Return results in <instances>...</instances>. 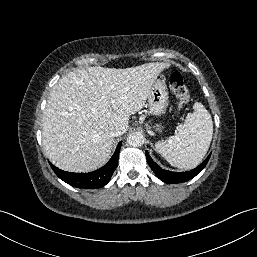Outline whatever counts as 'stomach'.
Listing matches in <instances>:
<instances>
[{"label":"stomach","instance_id":"obj_1","mask_svg":"<svg viewBox=\"0 0 257 257\" xmlns=\"http://www.w3.org/2000/svg\"><path fill=\"white\" fill-rule=\"evenodd\" d=\"M147 101L152 115L161 116L166 112L168 105V90L164 80L155 79L150 88ZM156 131L161 132L162 127L156 125Z\"/></svg>","mask_w":257,"mask_h":257}]
</instances>
